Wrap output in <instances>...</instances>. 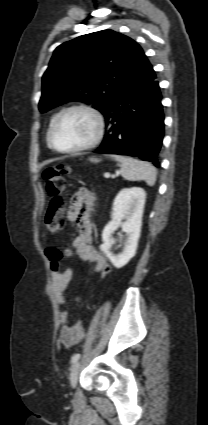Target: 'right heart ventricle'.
<instances>
[{
  "instance_id": "obj_1",
  "label": "right heart ventricle",
  "mask_w": 208,
  "mask_h": 425,
  "mask_svg": "<svg viewBox=\"0 0 208 425\" xmlns=\"http://www.w3.org/2000/svg\"><path fill=\"white\" fill-rule=\"evenodd\" d=\"M54 118H55V117H54ZM54 118H52V119H51L50 125H51V123H52V121H53V119H54ZM49 128H50V126H49ZM48 132H49V130H48Z\"/></svg>"
}]
</instances>
